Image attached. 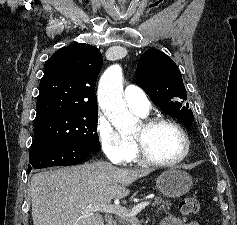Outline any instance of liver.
Wrapping results in <instances>:
<instances>
[{
	"label": "liver",
	"instance_id": "1",
	"mask_svg": "<svg viewBox=\"0 0 237 225\" xmlns=\"http://www.w3.org/2000/svg\"><path fill=\"white\" fill-rule=\"evenodd\" d=\"M150 172L92 162L36 173L31 177L33 224L104 225L102 215L90 208L126 197L127 186Z\"/></svg>",
	"mask_w": 237,
	"mask_h": 225
}]
</instances>
